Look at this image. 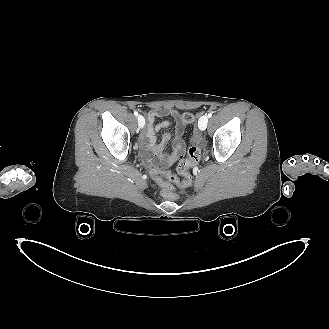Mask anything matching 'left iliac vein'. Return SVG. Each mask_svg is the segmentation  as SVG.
Instances as JSON below:
<instances>
[{"mask_svg": "<svg viewBox=\"0 0 329 329\" xmlns=\"http://www.w3.org/2000/svg\"><path fill=\"white\" fill-rule=\"evenodd\" d=\"M208 116H202L198 121V127L201 131H204L207 128Z\"/></svg>", "mask_w": 329, "mask_h": 329, "instance_id": "1", "label": "left iliac vein"}]
</instances>
